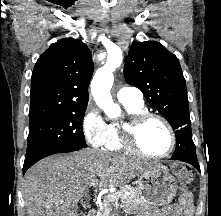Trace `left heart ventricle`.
Masks as SVG:
<instances>
[{"label": "left heart ventricle", "mask_w": 221, "mask_h": 216, "mask_svg": "<svg viewBox=\"0 0 221 216\" xmlns=\"http://www.w3.org/2000/svg\"><path fill=\"white\" fill-rule=\"evenodd\" d=\"M142 147L153 154H162L170 146V136L165 125L155 119L147 121L139 134Z\"/></svg>", "instance_id": "1"}]
</instances>
